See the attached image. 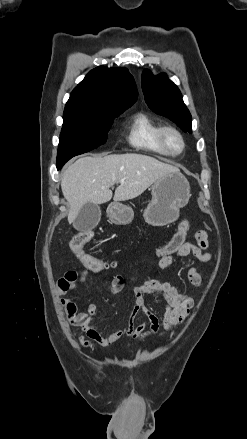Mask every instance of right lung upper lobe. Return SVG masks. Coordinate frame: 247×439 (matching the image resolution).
<instances>
[{
  "label": "right lung upper lobe",
  "mask_w": 247,
  "mask_h": 439,
  "mask_svg": "<svg viewBox=\"0 0 247 439\" xmlns=\"http://www.w3.org/2000/svg\"><path fill=\"white\" fill-rule=\"evenodd\" d=\"M137 95L133 76L126 68L100 66L72 91L64 112H115L132 106Z\"/></svg>",
  "instance_id": "right-lung-upper-lobe-1"
}]
</instances>
